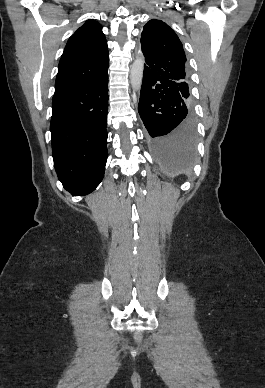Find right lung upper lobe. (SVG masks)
I'll list each match as a JSON object with an SVG mask.
<instances>
[{
  "label": "right lung upper lobe",
  "instance_id": "1",
  "mask_svg": "<svg viewBox=\"0 0 265 388\" xmlns=\"http://www.w3.org/2000/svg\"><path fill=\"white\" fill-rule=\"evenodd\" d=\"M109 53L99 23L87 20L68 40L61 56L55 91L97 80L108 73Z\"/></svg>",
  "mask_w": 265,
  "mask_h": 388
}]
</instances>
